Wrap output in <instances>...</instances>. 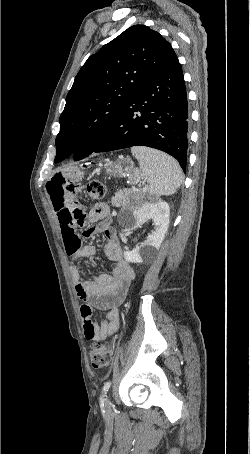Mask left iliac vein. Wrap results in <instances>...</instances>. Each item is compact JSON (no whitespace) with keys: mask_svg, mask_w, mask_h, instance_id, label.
<instances>
[{"mask_svg":"<svg viewBox=\"0 0 250 454\" xmlns=\"http://www.w3.org/2000/svg\"><path fill=\"white\" fill-rule=\"evenodd\" d=\"M105 410H106V412H111V402H110L109 398L105 399Z\"/></svg>","mask_w":250,"mask_h":454,"instance_id":"left-iliac-vein-1","label":"left iliac vein"}]
</instances>
